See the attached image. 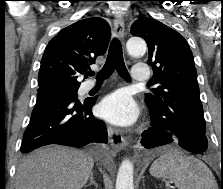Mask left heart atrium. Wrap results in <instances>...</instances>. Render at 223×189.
Wrapping results in <instances>:
<instances>
[{"instance_id": "obj_1", "label": "left heart atrium", "mask_w": 223, "mask_h": 189, "mask_svg": "<svg viewBox=\"0 0 223 189\" xmlns=\"http://www.w3.org/2000/svg\"><path fill=\"white\" fill-rule=\"evenodd\" d=\"M98 112L101 117L118 125H129L137 117L135 102L124 91L106 96L100 103Z\"/></svg>"}]
</instances>
